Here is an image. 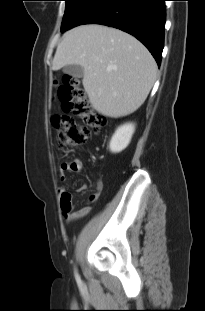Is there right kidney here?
<instances>
[{
    "instance_id": "obj_1",
    "label": "right kidney",
    "mask_w": 205,
    "mask_h": 311,
    "mask_svg": "<svg viewBox=\"0 0 205 311\" xmlns=\"http://www.w3.org/2000/svg\"><path fill=\"white\" fill-rule=\"evenodd\" d=\"M134 132L135 125L132 123H127L118 127L110 140V151L112 153L123 151L129 145Z\"/></svg>"
}]
</instances>
